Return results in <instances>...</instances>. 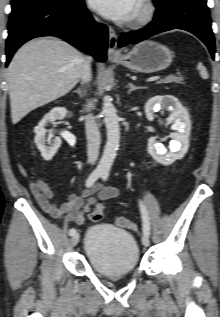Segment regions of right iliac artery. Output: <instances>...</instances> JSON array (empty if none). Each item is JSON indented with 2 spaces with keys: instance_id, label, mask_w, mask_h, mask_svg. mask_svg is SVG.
Listing matches in <instances>:
<instances>
[{
  "instance_id": "obj_1",
  "label": "right iliac artery",
  "mask_w": 220,
  "mask_h": 317,
  "mask_svg": "<svg viewBox=\"0 0 220 317\" xmlns=\"http://www.w3.org/2000/svg\"><path fill=\"white\" fill-rule=\"evenodd\" d=\"M102 175V171H99V170H95L93 171L90 176L88 177V179L86 180V187H90L92 186L95 181L100 178ZM76 233V229L75 228H71L69 230V235H74Z\"/></svg>"
}]
</instances>
